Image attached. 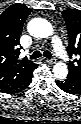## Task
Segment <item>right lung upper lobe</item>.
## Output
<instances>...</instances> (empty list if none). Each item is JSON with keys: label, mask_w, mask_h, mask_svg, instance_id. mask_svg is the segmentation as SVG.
I'll return each instance as SVG.
<instances>
[{"label": "right lung upper lobe", "mask_w": 81, "mask_h": 124, "mask_svg": "<svg viewBox=\"0 0 81 124\" xmlns=\"http://www.w3.org/2000/svg\"><path fill=\"white\" fill-rule=\"evenodd\" d=\"M31 9L16 3L0 15V90L22 80L36 65L32 61L19 60V39L24 22Z\"/></svg>", "instance_id": "cb5924a9"}]
</instances>
